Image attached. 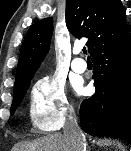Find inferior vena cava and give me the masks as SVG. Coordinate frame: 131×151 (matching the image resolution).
<instances>
[{"mask_svg": "<svg viewBox=\"0 0 131 151\" xmlns=\"http://www.w3.org/2000/svg\"><path fill=\"white\" fill-rule=\"evenodd\" d=\"M63 135L70 140L74 151H86V139L78 126L76 115L73 111L66 118Z\"/></svg>", "mask_w": 131, "mask_h": 151, "instance_id": "inferior-vena-cava-1", "label": "inferior vena cava"}]
</instances>
